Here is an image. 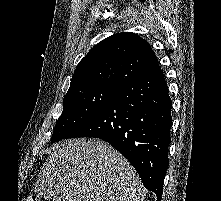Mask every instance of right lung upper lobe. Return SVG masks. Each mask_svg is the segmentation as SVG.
Wrapping results in <instances>:
<instances>
[{"label":"right lung upper lobe","instance_id":"right-lung-upper-lobe-1","mask_svg":"<svg viewBox=\"0 0 221 201\" xmlns=\"http://www.w3.org/2000/svg\"><path fill=\"white\" fill-rule=\"evenodd\" d=\"M158 66L146 40L131 32L114 34L80 61L68 92L95 86L120 90Z\"/></svg>","mask_w":221,"mask_h":201}]
</instances>
